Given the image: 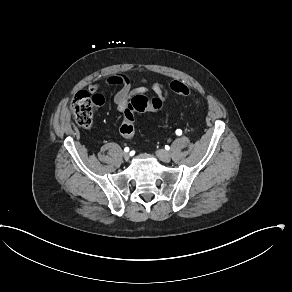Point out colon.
Listing matches in <instances>:
<instances>
[{
	"label": "colon",
	"instance_id": "5ec220e1",
	"mask_svg": "<svg viewBox=\"0 0 292 292\" xmlns=\"http://www.w3.org/2000/svg\"><path fill=\"white\" fill-rule=\"evenodd\" d=\"M169 87L178 94H183L184 97L192 96V89L186 86L177 79L169 80ZM197 102L201 100L199 97L194 98ZM103 98L100 95H93L86 91L78 92L71 100L69 111L72 118L82 127H91L93 116L97 109L102 105ZM163 107V102L159 97L148 98L145 95L136 96L124 111V119L119 123V132L131 138L135 130V111L139 112H159ZM198 106L197 109H201Z\"/></svg>",
	"mask_w": 292,
	"mask_h": 292
}]
</instances>
